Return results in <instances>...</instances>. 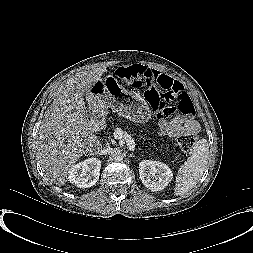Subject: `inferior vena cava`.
<instances>
[{
    "instance_id": "602c4592",
    "label": "inferior vena cava",
    "mask_w": 253,
    "mask_h": 253,
    "mask_svg": "<svg viewBox=\"0 0 253 253\" xmlns=\"http://www.w3.org/2000/svg\"><path fill=\"white\" fill-rule=\"evenodd\" d=\"M104 152H105V153H111V152H112V148H110V147H109V148H106V149L104 150Z\"/></svg>"
}]
</instances>
